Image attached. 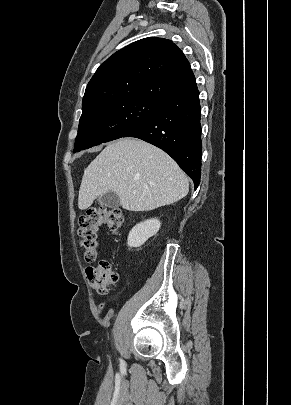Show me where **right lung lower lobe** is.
Returning a JSON list of instances; mask_svg holds the SVG:
<instances>
[{
  "instance_id": "1",
  "label": "right lung lower lobe",
  "mask_w": 291,
  "mask_h": 405,
  "mask_svg": "<svg viewBox=\"0 0 291 405\" xmlns=\"http://www.w3.org/2000/svg\"><path fill=\"white\" fill-rule=\"evenodd\" d=\"M200 114L195 83L167 97L145 123L124 137L139 138L164 150L194 181L196 189L201 177Z\"/></svg>"
}]
</instances>
